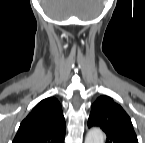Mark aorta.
Listing matches in <instances>:
<instances>
[{
  "label": "aorta",
  "instance_id": "1",
  "mask_svg": "<svg viewBox=\"0 0 145 143\" xmlns=\"http://www.w3.org/2000/svg\"><path fill=\"white\" fill-rule=\"evenodd\" d=\"M85 143H104V134L99 128H92L88 131Z\"/></svg>",
  "mask_w": 145,
  "mask_h": 143
}]
</instances>
